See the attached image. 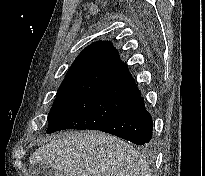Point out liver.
Masks as SVG:
<instances>
[{
    "instance_id": "6515ba94",
    "label": "liver",
    "mask_w": 205,
    "mask_h": 176,
    "mask_svg": "<svg viewBox=\"0 0 205 176\" xmlns=\"http://www.w3.org/2000/svg\"><path fill=\"white\" fill-rule=\"evenodd\" d=\"M29 161L50 165L54 176H152L141 153L120 138L96 131L53 136Z\"/></svg>"
}]
</instances>
